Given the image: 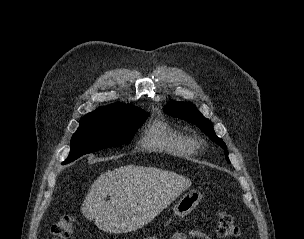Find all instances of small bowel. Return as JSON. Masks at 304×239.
Instances as JSON below:
<instances>
[{
  "label": "small bowel",
  "mask_w": 304,
  "mask_h": 239,
  "mask_svg": "<svg viewBox=\"0 0 304 239\" xmlns=\"http://www.w3.org/2000/svg\"><path fill=\"white\" fill-rule=\"evenodd\" d=\"M188 237H195L199 239H212L209 235L205 234L199 229H192L188 235L183 232H176L171 236L170 239H188Z\"/></svg>",
  "instance_id": "c3829d8e"
}]
</instances>
